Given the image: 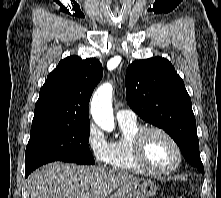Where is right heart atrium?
I'll return each mask as SVG.
<instances>
[{"label": "right heart atrium", "instance_id": "obj_1", "mask_svg": "<svg viewBox=\"0 0 221 198\" xmlns=\"http://www.w3.org/2000/svg\"><path fill=\"white\" fill-rule=\"evenodd\" d=\"M86 142L95 161L99 164H107L110 154V143L95 124L89 126Z\"/></svg>", "mask_w": 221, "mask_h": 198}]
</instances>
